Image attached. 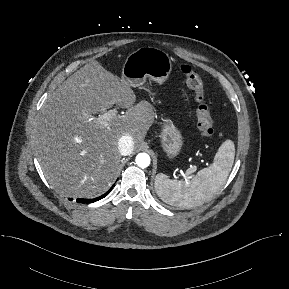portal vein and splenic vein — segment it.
Here are the masks:
<instances>
[{"instance_id":"obj_1","label":"portal vein and splenic vein","mask_w":289,"mask_h":289,"mask_svg":"<svg viewBox=\"0 0 289 289\" xmlns=\"http://www.w3.org/2000/svg\"><path fill=\"white\" fill-rule=\"evenodd\" d=\"M116 115H117V109L114 108V109L107 111L106 113L102 115H99L95 119L98 124L107 125L111 121V119H113Z\"/></svg>"}]
</instances>
